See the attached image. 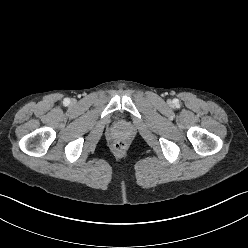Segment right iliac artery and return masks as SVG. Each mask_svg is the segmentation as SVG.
<instances>
[{
  "instance_id": "obj_1",
  "label": "right iliac artery",
  "mask_w": 248,
  "mask_h": 248,
  "mask_svg": "<svg viewBox=\"0 0 248 248\" xmlns=\"http://www.w3.org/2000/svg\"><path fill=\"white\" fill-rule=\"evenodd\" d=\"M64 103H65V104H68V103H69V99H65V100H64Z\"/></svg>"
}]
</instances>
